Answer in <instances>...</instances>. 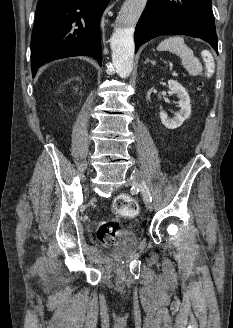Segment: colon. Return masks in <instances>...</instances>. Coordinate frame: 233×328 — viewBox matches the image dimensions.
Listing matches in <instances>:
<instances>
[{
	"label": "colon",
	"instance_id": "colon-1",
	"mask_svg": "<svg viewBox=\"0 0 233 328\" xmlns=\"http://www.w3.org/2000/svg\"><path fill=\"white\" fill-rule=\"evenodd\" d=\"M204 61L206 63V75L209 76L213 70V59L211 54L206 53L204 55ZM112 210L120 217L132 218L138 214L139 205L135 199L123 194L116 197L112 205ZM122 235L123 231L115 221H106L102 223L97 232L99 240L109 247L116 246Z\"/></svg>",
	"mask_w": 233,
	"mask_h": 328
}]
</instances>
